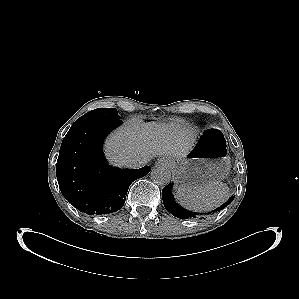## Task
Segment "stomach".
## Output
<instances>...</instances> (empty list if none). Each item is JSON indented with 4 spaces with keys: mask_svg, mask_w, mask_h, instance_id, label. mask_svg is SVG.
Returning <instances> with one entry per match:
<instances>
[{
    "mask_svg": "<svg viewBox=\"0 0 299 299\" xmlns=\"http://www.w3.org/2000/svg\"><path fill=\"white\" fill-rule=\"evenodd\" d=\"M168 160L177 182L193 188L221 181L230 171L226 141L216 127L201 132L185 157Z\"/></svg>",
    "mask_w": 299,
    "mask_h": 299,
    "instance_id": "0dacf381",
    "label": "stomach"
}]
</instances>
